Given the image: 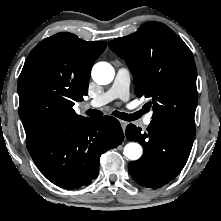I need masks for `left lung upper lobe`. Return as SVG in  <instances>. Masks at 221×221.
<instances>
[{
    "label": "left lung upper lobe",
    "instance_id": "obj_1",
    "mask_svg": "<svg viewBox=\"0 0 221 221\" xmlns=\"http://www.w3.org/2000/svg\"><path fill=\"white\" fill-rule=\"evenodd\" d=\"M133 75L138 97H150L152 120L195 132L197 71L188 46L166 25L147 22L135 33L109 41Z\"/></svg>",
    "mask_w": 221,
    "mask_h": 221
}]
</instances>
